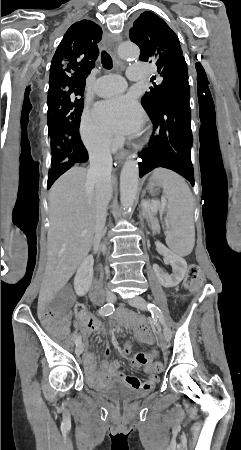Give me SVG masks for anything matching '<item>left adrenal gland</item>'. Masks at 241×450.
Instances as JSON below:
<instances>
[{
	"mask_svg": "<svg viewBox=\"0 0 241 450\" xmlns=\"http://www.w3.org/2000/svg\"><path fill=\"white\" fill-rule=\"evenodd\" d=\"M142 216H143V218H147L145 208H142ZM148 226H150L149 220H148Z\"/></svg>",
	"mask_w": 241,
	"mask_h": 450,
	"instance_id": "1",
	"label": "left adrenal gland"
}]
</instances>
